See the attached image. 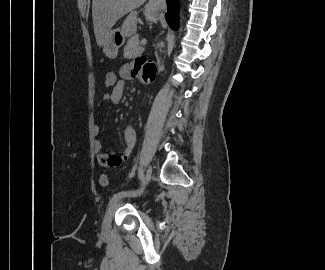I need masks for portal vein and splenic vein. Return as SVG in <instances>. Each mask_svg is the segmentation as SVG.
Segmentation results:
<instances>
[{
  "instance_id": "obj_1",
  "label": "portal vein and splenic vein",
  "mask_w": 325,
  "mask_h": 270,
  "mask_svg": "<svg viewBox=\"0 0 325 270\" xmlns=\"http://www.w3.org/2000/svg\"><path fill=\"white\" fill-rule=\"evenodd\" d=\"M147 43L146 39L142 40V44L145 45Z\"/></svg>"
}]
</instances>
